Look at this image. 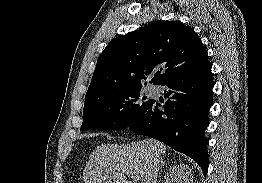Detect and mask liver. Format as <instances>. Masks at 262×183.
<instances>
[{
  "label": "liver",
  "instance_id": "liver-1",
  "mask_svg": "<svg viewBox=\"0 0 262 183\" xmlns=\"http://www.w3.org/2000/svg\"><path fill=\"white\" fill-rule=\"evenodd\" d=\"M166 145L147 138L130 144H101L91 154L83 171L84 183H129L133 172L142 183H157Z\"/></svg>",
  "mask_w": 262,
  "mask_h": 183
}]
</instances>
